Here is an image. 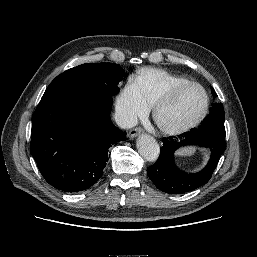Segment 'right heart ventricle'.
<instances>
[{
    "label": "right heart ventricle",
    "instance_id": "right-heart-ventricle-1",
    "mask_svg": "<svg viewBox=\"0 0 257 257\" xmlns=\"http://www.w3.org/2000/svg\"><path fill=\"white\" fill-rule=\"evenodd\" d=\"M134 82L140 89L148 105L155 103L174 86L190 82L186 77L159 68H143L134 76Z\"/></svg>",
    "mask_w": 257,
    "mask_h": 257
}]
</instances>
